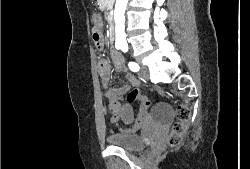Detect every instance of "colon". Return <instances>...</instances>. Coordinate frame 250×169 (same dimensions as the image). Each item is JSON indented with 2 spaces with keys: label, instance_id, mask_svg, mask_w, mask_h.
Wrapping results in <instances>:
<instances>
[{
  "label": "colon",
  "instance_id": "5ec220e1",
  "mask_svg": "<svg viewBox=\"0 0 250 169\" xmlns=\"http://www.w3.org/2000/svg\"><path fill=\"white\" fill-rule=\"evenodd\" d=\"M99 21L98 17H95ZM93 19V20H94ZM92 37L95 45H93V50H98V52H103V37L100 31V26L97 22L93 21V31ZM126 95V100H137L140 101V111L137 112L138 119L135 121L133 130L137 131L144 127L146 116L148 115L147 108L150 103L149 95H142L139 89H134L132 91H128ZM184 102H176L175 106L177 110H175V115H178V120L181 122H175V126H171L170 134L167 135L166 143L170 146H176L179 143H183V139L186 138L185 131H189V127H192V115H190V110L186 108ZM110 108H114L112 113L111 124H116V120H119L121 113V104L119 103H110Z\"/></svg>",
  "mask_w": 250,
  "mask_h": 169
}]
</instances>
